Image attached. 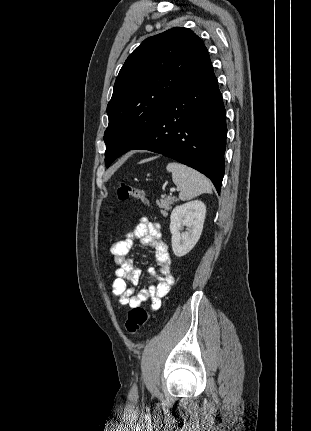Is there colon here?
I'll list each match as a JSON object with an SVG mask.
<instances>
[{
    "instance_id": "obj_1",
    "label": "colon",
    "mask_w": 311,
    "mask_h": 431,
    "mask_svg": "<svg viewBox=\"0 0 311 431\" xmlns=\"http://www.w3.org/2000/svg\"><path fill=\"white\" fill-rule=\"evenodd\" d=\"M117 198L120 201L136 199L143 203L148 202L145 194L138 188L130 186L124 182L120 183L117 188ZM149 313L142 307L133 308L127 317L125 328L128 333L135 334L148 321Z\"/></svg>"
}]
</instances>
